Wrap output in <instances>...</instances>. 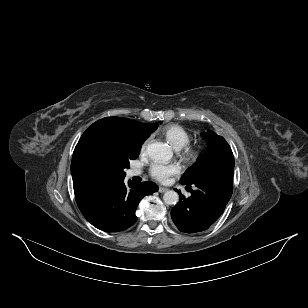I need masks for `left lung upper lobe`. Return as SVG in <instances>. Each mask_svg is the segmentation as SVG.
I'll use <instances>...</instances> for the list:
<instances>
[{
    "instance_id": "left-lung-upper-lobe-1",
    "label": "left lung upper lobe",
    "mask_w": 308,
    "mask_h": 308,
    "mask_svg": "<svg viewBox=\"0 0 308 308\" xmlns=\"http://www.w3.org/2000/svg\"><path fill=\"white\" fill-rule=\"evenodd\" d=\"M202 136L206 139L209 150L184 173L181 183H192L200 176L221 167L234 168V156L226 140L213 131L204 132Z\"/></svg>"
}]
</instances>
